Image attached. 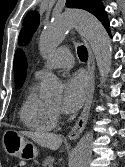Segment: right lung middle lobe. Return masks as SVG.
<instances>
[{
    "instance_id": "obj_1",
    "label": "right lung middle lobe",
    "mask_w": 125,
    "mask_h": 167,
    "mask_svg": "<svg viewBox=\"0 0 125 167\" xmlns=\"http://www.w3.org/2000/svg\"><path fill=\"white\" fill-rule=\"evenodd\" d=\"M17 88H20V86H16V89H17Z\"/></svg>"
}]
</instances>
